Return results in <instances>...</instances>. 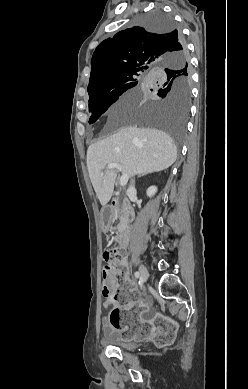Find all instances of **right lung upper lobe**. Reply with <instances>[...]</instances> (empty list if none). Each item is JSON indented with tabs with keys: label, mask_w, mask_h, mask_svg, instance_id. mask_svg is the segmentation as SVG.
Returning <instances> with one entry per match:
<instances>
[{
	"label": "right lung upper lobe",
	"mask_w": 248,
	"mask_h": 389,
	"mask_svg": "<svg viewBox=\"0 0 248 389\" xmlns=\"http://www.w3.org/2000/svg\"><path fill=\"white\" fill-rule=\"evenodd\" d=\"M180 34L177 29L157 32L136 26L102 41L91 59L88 94L108 86L123 74L151 70L170 58L188 61L184 42L178 46Z\"/></svg>",
	"instance_id": "1"
}]
</instances>
